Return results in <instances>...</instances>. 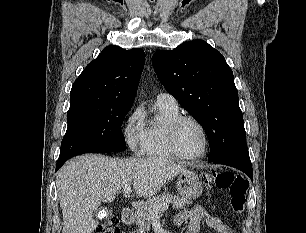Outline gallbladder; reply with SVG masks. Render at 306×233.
Listing matches in <instances>:
<instances>
[{"instance_id":"obj_1","label":"gallbladder","mask_w":306,"mask_h":233,"mask_svg":"<svg viewBox=\"0 0 306 233\" xmlns=\"http://www.w3.org/2000/svg\"><path fill=\"white\" fill-rule=\"evenodd\" d=\"M109 214H110L109 210L106 209V210H105V216H103V217H100V216H99V218H100V219H101V218H104V217L108 216ZM94 215L97 216V215H98V212H94Z\"/></svg>"}]
</instances>
